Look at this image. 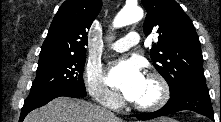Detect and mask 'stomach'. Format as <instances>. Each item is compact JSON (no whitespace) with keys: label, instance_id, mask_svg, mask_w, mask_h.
<instances>
[{"label":"stomach","instance_id":"stomach-1","mask_svg":"<svg viewBox=\"0 0 221 122\" xmlns=\"http://www.w3.org/2000/svg\"><path fill=\"white\" fill-rule=\"evenodd\" d=\"M154 122H177L176 120H173L171 118H159L155 120Z\"/></svg>","mask_w":221,"mask_h":122}]
</instances>
